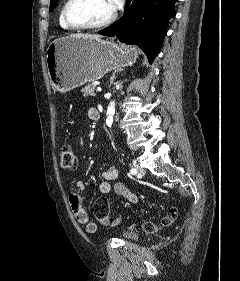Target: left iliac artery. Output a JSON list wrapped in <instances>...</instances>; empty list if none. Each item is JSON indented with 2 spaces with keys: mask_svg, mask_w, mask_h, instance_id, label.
<instances>
[{
  "mask_svg": "<svg viewBox=\"0 0 240 281\" xmlns=\"http://www.w3.org/2000/svg\"><path fill=\"white\" fill-rule=\"evenodd\" d=\"M130 173H131L132 175H135V174H137V170H136L135 168H132V169L130 170Z\"/></svg>",
  "mask_w": 240,
  "mask_h": 281,
  "instance_id": "44dca946",
  "label": "left iliac artery"
}]
</instances>
